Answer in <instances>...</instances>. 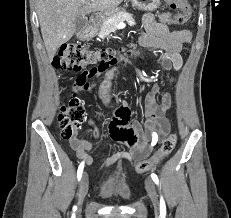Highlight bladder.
I'll return each instance as SVG.
<instances>
[{
    "label": "bladder",
    "instance_id": "obj_1",
    "mask_svg": "<svg viewBox=\"0 0 231 218\" xmlns=\"http://www.w3.org/2000/svg\"><path fill=\"white\" fill-rule=\"evenodd\" d=\"M98 193L104 199L127 201L131 197L129 180L125 175L102 177Z\"/></svg>",
    "mask_w": 231,
    "mask_h": 218
}]
</instances>
